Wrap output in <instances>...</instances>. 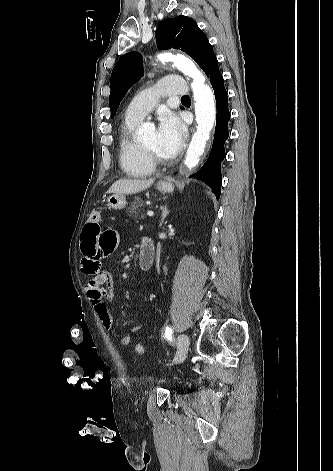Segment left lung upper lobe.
<instances>
[{
  "label": "left lung upper lobe",
  "instance_id": "5c2ea615",
  "mask_svg": "<svg viewBox=\"0 0 333 471\" xmlns=\"http://www.w3.org/2000/svg\"><path fill=\"white\" fill-rule=\"evenodd\" d=\"M155 37L158 49H181L201 68L207 58L214 53L213 46L197 23L183 15L161 22L156 29ZM142 76V59L137 52H130L120 57L111 74L109 96L111 117H114L127 90Z\"/></svg>",
  "mask_w": 333,
  "mask_h": 471
}]
</instances>
